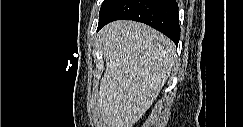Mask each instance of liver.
<instances>
[{"mask_svg": "<svg viewBox=\"0 0 243 127\" xmlns=\"http://www.w3.org/2000/svg\"><path fill=\"white\" fill-rule=\"evenodd\" d=\"M106 69L98 111L108 127H133L158 97L175 63L174 43L151 27L119 20L100 31Z\"/></svg>", "mask_w": 243, "mask_h": 127, "instance_id": "6515ba94", "label": "liver"}]
</instances>
